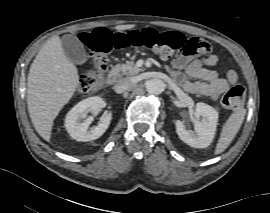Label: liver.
<instances>
[{"label": "liver", "instance_id": "1", "mask_svg": "<svg viewBox=\"0 0 270 213\" xmlns=\"http://www.w3.org/2000/svg\"><path fill=\"white\" fill-rule=\"evenodd\" d=\"M134 25H118L117 31ZM79 84L76 66L66 57L59 36L50 38L31 64L27 82V104L37 133L51 139L53 121L74 95Z\"/></svg>", "mask_w": 270, "mask_h": 213}]
</instances>
